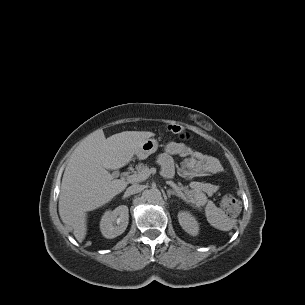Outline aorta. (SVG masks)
I'll return each instance as SVG.
<instances>
[{
    "mask_svg": "<svg viewBox=\"0 0 305 305\" xmlns=\"http://www.w3.org/2000/svg\"><path fill=\"white\" fill-rule=\"evenodd\" d=\"M145 197L150 203H157L162 199L161 192L156 188L146 190Z\"/></svg>",
    "mask_w": 305,
    "mask_h": 305,
    "instance_id": "1",
    "label": "aorta"
}]
</instances>
